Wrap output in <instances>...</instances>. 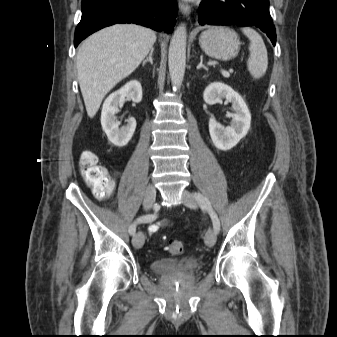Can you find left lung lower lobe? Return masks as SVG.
I'll return each instance as SVG.
<instances>
[{
    "instance_id": "left-lung-lower-lobe-1",
    "label": "left lung lower lobe",
    "mask_w": 337,
    "mask_h": 337,
    "mask_svg": "<svg viewBox=\"0 0 337 337\" xmlns=\"http://www.w3.org/2000/svg\"><path fill=\"white\" fill-rule=\"evenodd\" d=\"M200 25L256 26L275 46L276 32L269 12V0H203Z\"/></svg>"
}]
</instances>
